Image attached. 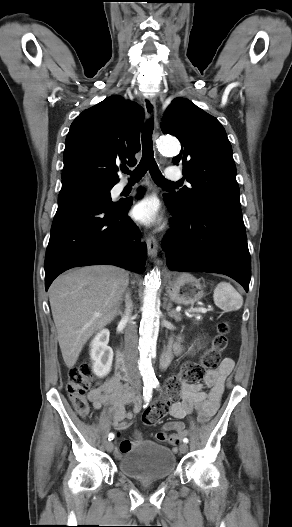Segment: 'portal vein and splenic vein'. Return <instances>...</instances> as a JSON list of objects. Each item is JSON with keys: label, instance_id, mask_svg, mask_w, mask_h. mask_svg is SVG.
<instances>
[{"label": "portal vein and splenic vein", "instance_id": "18ae733b", "mask_svg": "<svg viewBox=\"0 0 292 527\" xmlns=\"http://www.w3.org/2000/svg\"><path fill=\"white\" fill-rule=\"evenodd\" d=\"M207 311H208V309H206V308H195V309H188V310H186V313H191V312L206 313Z\"/></svg>", "mask_w": 292, "mask_h": 527}]
</instances>
